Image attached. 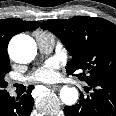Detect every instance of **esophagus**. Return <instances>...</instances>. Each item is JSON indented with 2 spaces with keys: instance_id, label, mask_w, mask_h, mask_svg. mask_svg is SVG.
<instances>
[{
  "instance_id": "1",
  "label": "esophagus",
  "mask_w": 116,
  "mask_h": 116,
  "mask_svg": "<svg viewBox=\"0 0 116 116\" xmlns=\"http://www.w3.org/2000/svg\"><path fill=\"white\" fill-rule=\"evenodd\" d=\"M48 87L53 89V90H57L61 87V85H48Z\"/></svg>"
}]
</instances>
